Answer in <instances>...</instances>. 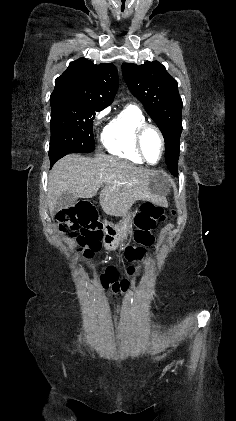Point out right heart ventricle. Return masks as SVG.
<instances>
[{
    "mask_svg": "<svg viewBox=\"0 0 236 421\" xmlns=\"http://www.w3.org/2000/svg\"><path fill=\"white\" fill-rule=\"evenodd\" d=\"M145 123L142 110L135 104H128L104 127L101 134L103 148L121 159L144 164L136 148L135 133Z\"/></svg>",
    "mask_w": 236,
    "mask_h": 421,
    "instance_id": "right-heart-ventricle-1",
    "label": "right heart ventricle"
}]
</instances>
